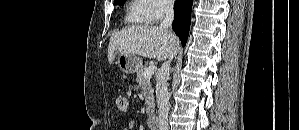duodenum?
<instances>
[{
    "label": "duodenum",
    "instance_id": "obj_1",
    "mask_svg": "<svg viewBox=\"0 0 299 130\" xmlns=\"http://www.w3.org/2000/svg\"><path fill=\"white\" fill-rule=\"evenodd\" d=\"M147 123H148V127L151 130H157L158 129V125H159V121L158 118L156 116H149L147 119Z\"/></svg>",
    "mask_w": 299,
    "mask_h": 130
}]
</instances>
